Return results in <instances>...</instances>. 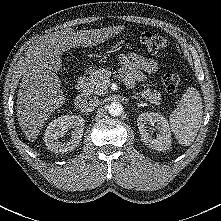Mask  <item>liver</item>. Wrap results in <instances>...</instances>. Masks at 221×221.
Masks as SVG:
<instances>
[{"instance_id":"liver-1","label":"liver","mask_w":221,"mask_h":221,"mask_svg":"<svg viewBox=\"0 0 221 221\" xmlns=\"http://www.w3.org/2000/svg\"><path fill=\"white\" fill-rule=\"evenodd\" d=\"M121 30V26L77 32L66 28L43 37L28 52L16 109L20 128L29 141L38 137L49 115L65 102L61 81L56 74L62 66L60 56L73 47L104 43Z\"/></svg>"}]
</instances>
